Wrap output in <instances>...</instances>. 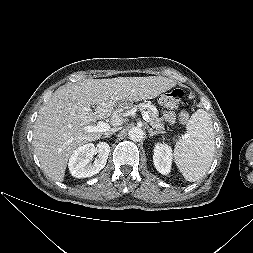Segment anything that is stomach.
Masks as SVG:
<instances>
[{
	"instance_id": "1",
	"label": "stomach",
	"mask_w": 253,
	"mask_h": 253,
	"mask_svg": "<svg viewBox=\"0 0 253 253\" xmlns=\"http://www.w3.org/2000/svg\"><path fill=\"white\" fill-rule=\"evenodd\" d=\"M169 97L167 96V94H163L161 95L160 98V102L164 105H166L167 99ZM118 109L123 112V113H128L131 111L132 109V102L130 99L128 98H123L120 100L119 104H118Z\"/></svg>"
}]
</instances>
